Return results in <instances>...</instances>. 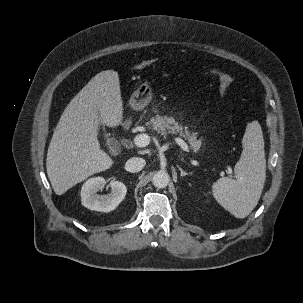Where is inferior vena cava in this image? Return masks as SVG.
<instances>
[{"mask_svg": "<svg viewBox=\"0 0 303 303\" xmlns=\"http://www.w3.org/2000/svg\"><path fill=\"white\" fill-rule=\"evenodd\" d=\"M146 165V161L140 157H134L127 160L125 163V169L128 172L135 173L141 171Z\"/></svg>", "mask_w": 303, "mask_h": 303, "instance_id": "obj_1", "label": "inferior vena cava"}]
</instances>
